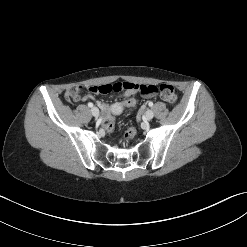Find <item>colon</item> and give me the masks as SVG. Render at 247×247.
Returning <instances> with one entry per match:
<instances>
[{"instance_id":"1","label":"colon","mask_w":247,"mask_h":247,"mask_svg":"<svg viewBox=\"0 0 247 247\" xmlns=\"http://www.w3.org/2000/svg\"><path fill=\"white\" fill-rule=\"evenodd\" d=\"M128 89H132L134 92L141 95L143 98L161 97L164 101H166L169 104H174L177 101V94L175 92V89L172 85L169 84H161L159 87H156L155 85L149 84L138 85L134 82H117L113 84L95 85L88 88V90L94 94H108L111 92H121ZM82 92L83 87L76 86L66 93V99L68 101H75L79 96L82 95ZM133 106V100H126L125 104H120V109H118L117 112L121 115L123 114V112H125V110H129ZM114 127L115 122L112 118H109L104 122V128L106 131H113ZM135 134L136 130L134 128H130L125 134L126 140H131L135 136Z\"/></svg>"}]
</instances>
